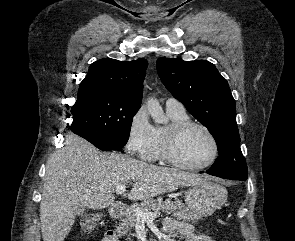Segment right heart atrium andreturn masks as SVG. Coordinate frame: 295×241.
Instances as JSON below:
<instances>
[{"mask_svg": "<svg viewBox=\"0 0 295 241\" xmlns=\"http://www.w3.org/2000/svg\"><path fill=\"white\" fill-rule=\"evenodd\" d=\"M154 137V127L144 108L137 109L130 118L126 148L133 155L144 157L149 151Z\"/></svg>", "mask_w": 295, "mask_h": 241, "instance_id": "obj_1", "label": "right heart atrium"}]
</instances>
